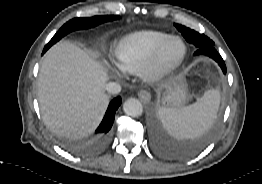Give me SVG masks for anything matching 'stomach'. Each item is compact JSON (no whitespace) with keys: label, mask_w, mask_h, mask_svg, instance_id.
Returning <instances> with one entry per match:
<instances>
[{"label":"stomach","mask_w":262,"mask_h":184,"mask_svg":"<svg viewBox=\"0 0 262 184\" xmlns=\"http://www.w3.org/2000/svg\"><path fill=\"white\" fill-rule=\"evenodd\" d=\"M187 100V89L183 83L168 86L162 94L161 104L167 108H179Z\"/></svg>","instance_id":"1"}]
</instances>
